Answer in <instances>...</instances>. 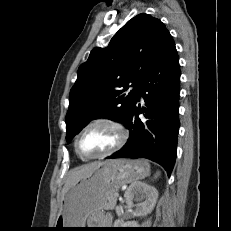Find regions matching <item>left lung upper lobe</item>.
Returning <instances> with one entry per match:
<instances>
[{
    "label": "left lung upper lobe",
    "mask_w": 231,
    "mask_h": 231,
    "mask_svg": "<svg viewBox=\"0 0 231 231\" xmlns=\"http://www.w3.org/2000/svg\"><path fill=\"white\" fill-rule=\"evenodd\" d=\"M168 33L159 19L142 13L129 20L106 48L91 51L70 91L67 141L95 118L126 123L136 105L141 79ZM129 87L133 89L128 93Z\"/></svg>",
    "instance_id": "obj_1"
}]
</instances>
